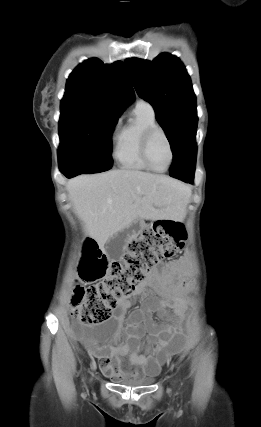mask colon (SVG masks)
<instances>
[{
	"mask_svg": "<svg viewBox=\"0 0 261 427\" xmlns=\"http://www.w3.org/2000/svg\"><path fill=\"white\" fill-rule=\"evenodd\" d=\"M185 238L180 223L160 220L131 240L121 260L113 262L108 261L94 240H86L81 274L87 281H101L87 287L77 286L72 299L73 315L84 325L110 319L117 300L132 294L136 285L161 261L178 254Z\"/></svg>",
	"mask_w": 261,
	"mask_h": 427,
	"instance_id": "1",
	"label": "colon"
}]
</instances>
